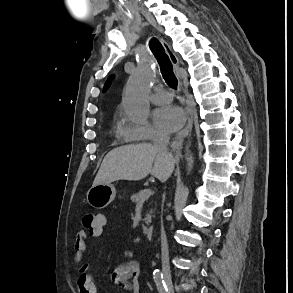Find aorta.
I'll return each mask as SVG.
<instances>
[{
	"instance_id": "obj_1",
	"label": "aorta",
	"mask_w": 293,
	"mask_h": 293,
	"mask_svg": "<svg viewBox=\"0 0 293 293\" xmlns=\"http://www.w3.org/2000/svg\"><path fill=\"white\" fill-rule=\"evenodd\" d=\"M155 78V70L149 60L139 63L136 70L131 74L125 88L123 106L126 113L136 121L143 122L149 117L148 94L151 83ZM187 170L193 168V156L186 157Z\"/></svg>"
}]
</instances>
